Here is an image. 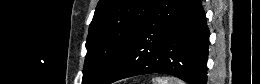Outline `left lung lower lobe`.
<instances>
[{"mask_svg":"<svg viewBox=\"0 0 260 84\" xmlns=\"http://www.w3.org/2000/svg\"><path fill=\"white\" fill-rule=\"evenodd\" d=\"M208 44L200 0H157L102 84L148 73L206 84Z\"/></svg>","mask_w":260,"mask_h":84,"instance_id":"left-lung-lower-lobe-1","label":"left lung lower lobe"}]
</instances>
